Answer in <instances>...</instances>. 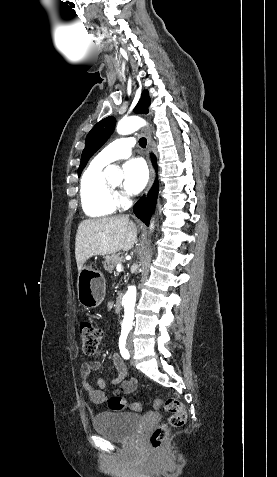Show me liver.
I'll list each match as a JSON object with an SVG mask.
<instances>
[{
	"instance_id": "6515ba94",
	"label": "liver",
	"mask_w": 277,
	"mask_h": 477,
	"mask_svg": "<svg viewBox=\"0 0 277 477\" xmlns=\"http://www.w3.org/2000/svg\"><path fill=\"white\" fill-rule=\"evenodd\" d=\"M137 242V227L128 216L83 220L77 229L75 257L78 271L92 256L130 250Z\"/></svg>"
}]
</instances>
